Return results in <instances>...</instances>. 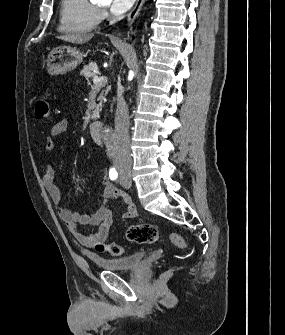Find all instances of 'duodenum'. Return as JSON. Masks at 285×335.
I'll list each match as a JSON object with an SVG mask.
<instances>
[{"instance_id": "1", "label": "duodenum", "mask_w": 285, "mask_h": 335, "mask_svg": "<svg viewBox=\"0 0 285 335\" xmlns=\"http://www.w3.org/2000/svg\"><path fill=\"white\" fill-rule=\"evenodd\" d=\"M102 130V124L97 121H93L89 124V133L92 139L98 144H102Z\"/></svg>"}]
</instances>
